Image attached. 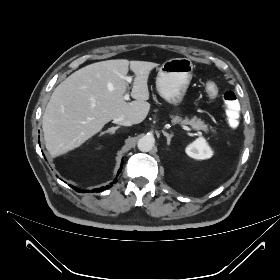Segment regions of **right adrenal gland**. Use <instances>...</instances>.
<instances>
[{
    "label": "right adrenal gland",
    "instance_id": "2a0ac1e0",
    "mask_svg": "<svg viewBox=\"0 0 280 280\" xmlns=\"http://www.w3.org/2000/svg\"><path fill=\"white\" fill-rule=\"evenodd\" d=\"M119 128H120V126L108 128L106 131L101 132L100 136H102L106 133H109V134L113 135V134H115V131Z\"/></svg>",
    "mask_w": 280,
    "mask_h": 280
}]
</instances>
